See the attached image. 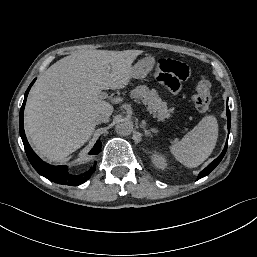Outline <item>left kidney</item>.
Returning <instances> with one entry per match:
<instances>
[{
  "label": "left kidney",
  "mask_w": 257,
  "mask_h": 257,
  "mask_svg": "<svg viewBox=\"0 0 257 257\" xmlns=\"http://www.w3.org/2000/svg\"><path fill=\"white\" fill-rule=\"evenodd\" d=\"M152 163L159 169H164L167 166V160L164 155L159 152H154L151 156Z\"/></svg>",
  "instance_id": "left-kidney-1"
}]
</instances>
